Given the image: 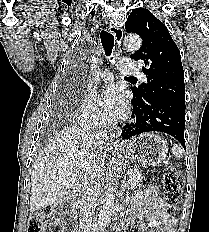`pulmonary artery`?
Here are the masks:
<instances>
[{
  "mask_svg": "<svg viewBox=\"0 0 209 232\" xmlns=\"http://www.w3.org/2000/svg\"><path fill=\"white\" fill-rule=\"evenodd\" d=\"M117 70L124 75L138 76L142 81L146 80L144 74L140 71V69L129 60H121L117 64ZM101 79L105 83H112V81L114 80V75L109 71H104L101 73Z\"/></svg>",
  "mask_w": 209,
  "mask_h": 232,
  "instance_id": "1",
  "label": "pulmonary artery"
}]
</instances>
